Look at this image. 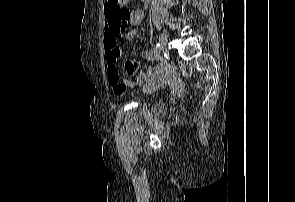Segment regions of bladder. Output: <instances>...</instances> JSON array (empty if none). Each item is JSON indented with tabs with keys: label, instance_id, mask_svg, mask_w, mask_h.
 I'll use <instances>...</instances> for the list:
<instances>
[{
	"label": "bladder",
	"instance_id": "obj_1",
	"mask_svg": "<svg viewBox=\"0 0 295 202\" xmlns=\"http://www.w3.org/2000/svg\"><path fill=\"white\" fill-rule=\"evenodd\" d=\"M150 113L153 116L160 117L166 114V106L162 103L155 102L149 108Z\"/></svg>",
	"mask_w": 295,
	"mask_h": 202
}]
</instances>
